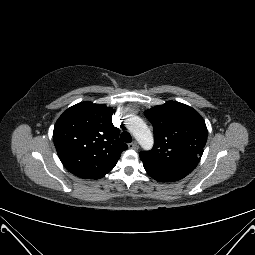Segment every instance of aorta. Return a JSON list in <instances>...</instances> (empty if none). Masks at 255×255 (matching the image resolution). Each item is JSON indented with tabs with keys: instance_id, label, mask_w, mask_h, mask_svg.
<instances>
[{
	"instance_id": "762f6f07",
	"label": "aorta",
	"mask_w": 255,
	"mask_h": 255,
	"mask_svg": "<svg viewBox=\"0 0 255 255\" xmlns=\"http://www.w3.org/2000/svg\"><path fill=\"white\" fill-rule=\"evenodd\" d=\"M127 124L130 132L141 147L145 150H150L153 147L154 139L146 123L136 115H129Z\"/></svg>"
}]
</instances>
